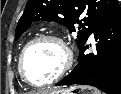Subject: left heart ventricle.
Instances as JSON below:
<instances>
[{
    "mask_svg": "<svg viewBox=\"0 0 121 94\" xmlns=\"http://www.w3.org/2000/svg\"><path fill=\"white\" fill-rule=\"evenodd\" d=\"M63 62L61 48L54 42L42 41L30 48L24 60V69L34 83L52 79Z\"/></svg>",
    "mask_w": 121,
    "mask_h": 94,
    "instance_id": "obj_1",
    "label": "left heart ventricle"
}]
</instances>
